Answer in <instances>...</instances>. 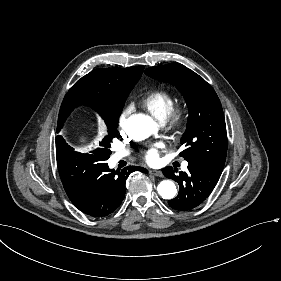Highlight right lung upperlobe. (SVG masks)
<instances>
[{
    "label": "right lung upper lobe",
    "mask_w": 281,
    "mask_h": 281,
    "mask_svg": "<svg viewBox=\"0 0 281 281\" xmlns=\"http://www.w3.org/2000/svg\"><path fill=\"white\" fill-rule=\"evenodd\" d=\"M144 66L96 69L78 80L65 95L61 104L57 131L70 112L87 105L97 112L122 111L124 103L140 79Z\"/></svg>",
    "instance_id": "obj_1"
}]
</instances>
